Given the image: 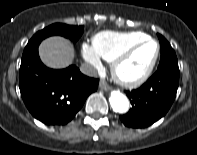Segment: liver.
<instances>
[{
	"mask_svg": "<svg viewBox=\"0 0 197 155\" xmlns=\"http://www.w3.org/2000/svg\"><path fill=\"white\" fill-rule=\"evenodd\" d=\"M43 63L50 68H65L74 58V50L63 37L53 36L45 39L39 46Z\"/></svg>",
	"mask_w": 197,
	"mask_h": 155,
	"instance_id": "obj_1",
	"label": "liver"
}]
</instances>
